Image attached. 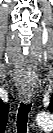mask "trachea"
<instances>
[{
	"mask_svg": "<svg viewBox=\"0 0 53 133\" xmlns=\"http://www.w3.org/2000/svg\"><path fill=\"white\" fill-rule=\"evenodd\" d=\"M31 109V103H21L17 114V131L18 133L27 132L28 113Z\"/></svg>",
	"mask_w": 53,
	"mask_h": 133,
	"instance_id": "3493384b",
	"label": "trachea"
}]
</instances>
